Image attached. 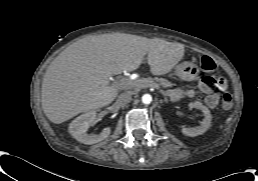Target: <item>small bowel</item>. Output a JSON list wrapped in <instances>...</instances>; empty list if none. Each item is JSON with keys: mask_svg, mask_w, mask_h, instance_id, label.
Masks as SVG:
<instances>
[{"mask_svg": "<svg viewBox=\"0 0 258 181\" xmlns=\"http://www.w3.org/2000/svg\"><path fill=\"white\" fill-rule=\"evenodd\" d=\"M225 88L226 83L223 79L215 80L213 77L206 76L199 82L200 91L206 95L204 102L210 108H214L218 104L219 93ZM194 96L195 91L193 89H176L171 93V97L174 99L192 98Z\"/></svg>", "mask_w": 258, "mask_h": 181, "instance_id": "1", "label": "small bowel"}]
</instances>
